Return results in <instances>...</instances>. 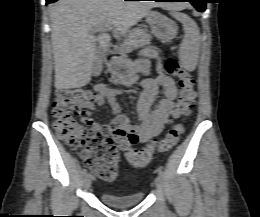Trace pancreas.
<instances>
[{"label":"pancreas","instance_id":"pancreas-1","mask_svg":"<svg viewBox=\"0 0 260 217\" xmlns=\"http://www.w3.org/2000/svg\"><path fill=\"white\" fill-rule=\"evenodd\" d=\"M151 40L152 36L147 30L135 28L129 31L128 37L124 41L122 47L125 51H131L132 49L149 45Z\"/></svg>","mask_w":260,"mask_h":217}]
</instances>
